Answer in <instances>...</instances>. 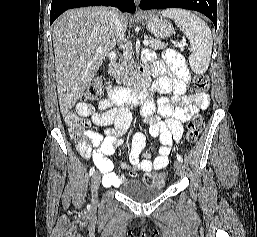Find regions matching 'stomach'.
<instances>
[{
  "label": "stomach",
  "mask_w": 257,
  "mask_h": 237,
  "mask_svg": "<svg viewBox=\"0 0 257 237\" xmlns=\"http://www.w3.org/2000/svg\"><path fill=\"white\" fill-rule=\"evenodd\" d=\"M142 19L144 20L148 31L157 38L164 39L171 36L173 33L172 24L158 14L146 12L143 14Z\"/></svg>",
  "instance_id": "stomach-1"
}]
</instances>
